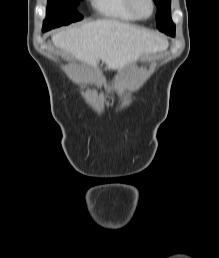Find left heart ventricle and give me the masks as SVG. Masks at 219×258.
<instances>
[{
    "label": "left heart ventricle",
    "instance_id": "b2bd125f",
    "mask_svg": "<svg viewBox=\"0 0 219 258\" xmlns=\"http://www.w3.org/2000/svg\"><path fill=\"white\" fill-rule=\"evenodd\" d=\"M136 6L140 14L149 15L151 11V6L148 0H136Z\"/></svg>",
    "mask_w": 219,
    "mask_h": 258
}]
</instances>
